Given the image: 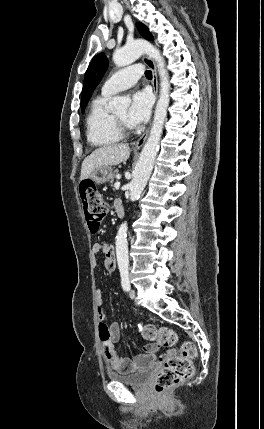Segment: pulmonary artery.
<instances>
[{"mask_svg":"<svg viewBox=\"0 0 264 429\" xmlns=\"http://www.w3.org/2000/svg\"><path fill=\"white\" fill-rule=\"evenodd\" d=\"M142 75L141 65L123 68L109 77L102 86V93L113 95L132 87Z\"/></svg>","mask_w":264,"mask_h":429,"instance_id":"pulmonary-artery-1","label":"pulmonary artery"}]
</instances>
